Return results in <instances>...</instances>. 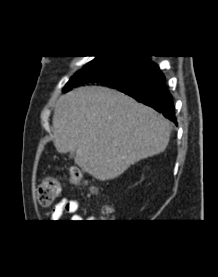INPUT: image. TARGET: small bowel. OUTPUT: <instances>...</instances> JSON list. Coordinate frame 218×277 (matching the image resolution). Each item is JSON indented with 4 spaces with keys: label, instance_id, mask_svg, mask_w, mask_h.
I'll use <instances>...</instances> for the list:
<instances>
[{
    "label": "small bowel",
    "instance_id": "obj_1",
    "mask_svg": "<svg viewBox=\"0 0 218 277\" xmlns=\"http://www.w3.org/2000/svg\"><path fill=\"white\" fill-rule=\"evenodd\" d=\"M79 203L76 199L64 197L62 198L52 209L49 219L50 222H59V220L63 219L65 216H69L75 222H81L83 219L76 212L78 210Z\"/></svg>",
    "mask_w": 218,
    "mask_h": 277
}]
</instances>
